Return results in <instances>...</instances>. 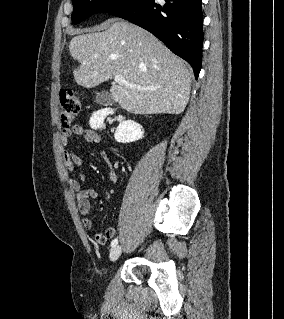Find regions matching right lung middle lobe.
Instances as JSON below:
<instances>
[{
  "label": "right lung middle lobe",
  "mask_w": 284,
  "mask_h": 319,
  "mask_svg": "<svg viewBox=\"0 0 284 319\" xmlns=\"http://www.w3.org/2000/svg\"><path fill=\"white\" fill-rule=\"evenodd\" d=\"M131 0H72L74 24L80 23L98 12H109L117 7L126 5Z\"/></svg>",
  "instance_id": "1"
}]
</instances>
